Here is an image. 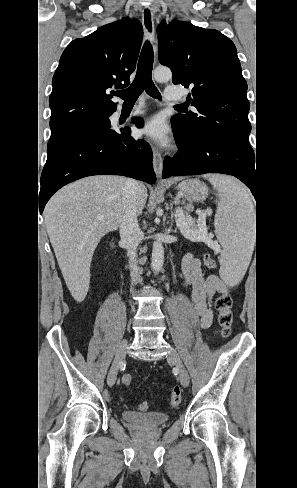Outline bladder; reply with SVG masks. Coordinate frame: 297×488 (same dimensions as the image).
Returning a JSON list of instances; mask_svg holds the SVG:
<instances>
[{"mask_svg":"<svg viewBox=\"0 0 297 488\" xmlns=\"http://www.w3.org/2000/svg\"><path fill=\"white\" fill-rule=\"evenodd\" d=\"M122 416L128 423L140 428H157L169 420V415L163 412L138 413L124 411Z\"/></svg>","mask_w":297,"mask_h":488,"instance_id":"bladder-1","label":"bladder"}]
</instances>
